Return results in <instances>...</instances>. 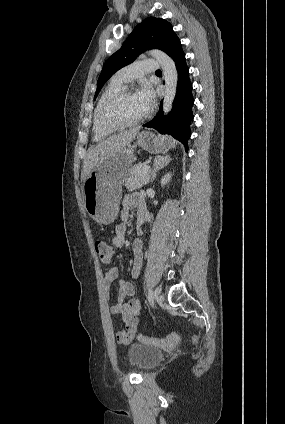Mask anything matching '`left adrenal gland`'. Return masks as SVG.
<instances>
[{
  "label": "left adrenal gland",
  "instance_id": "left-adrenal-gland-1",
  "mask_svg": "<svg viewBox=\"0 0 285 424\" xmlns=\"http://www.w3.org/2000/svg\"><path fill=\"white\" fill-rule=\"evenodd\" d=\"M171 161V158L169 156H157L154 159L153 167L150 170L151 171V179L150 181L153 182L156 178V173L158 170L162 169L164 166L168 165Z\"/></svg>",
  "mask_w": 285,
  "mask_h": 424
}]
</instances>
